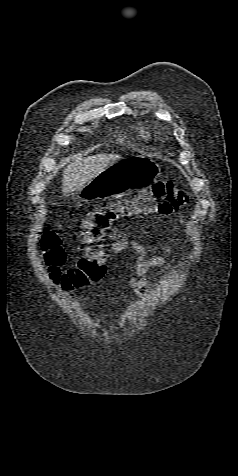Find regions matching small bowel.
I'll use <instances>...</instances> for the list:
<instances>
[{
	"instance_id": "obj_1",
	"label": "small bowel",
	"mask_w": 238,
	"mask_h": 476,
	"mask_svg": "<svg viewBox=\"0 0 238 476\" xmlns=\"http://www.w3.org/2000/svg\"><path fill=\"white\" fill-rule=\"evenodd\" d=\"M113 239L112 244L109 247L110 254H118L131 247L136 254V261L134 264L133 277H130L127 281L129 286L135 291V293L144 297L149 293L151 284L145 278V275L151 268H157V275H161L169 267V263L165 259V255L170 253L171 248L169 245H163L160 247L163 254L148 257L146 248L137 240H129L127 234L119 229L114 230L110 236Z\"/></svg>"
}]
</instances>
